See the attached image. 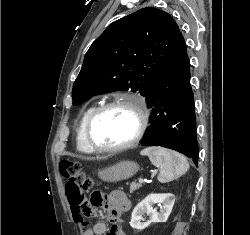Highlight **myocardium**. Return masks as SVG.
I'll return each instance as SVG.
<instances>
[{
    "mask_svg": "<svg viewBox=\"0 0 250 235\" xmlns=\"http://www.w3.org/2000/svg\"><path fill=\"white\" fill-rule=\"evenodd\" d=\"M122 106L131 109L137 116V129L133 137L122 144L115 146H99L91 136V129L96 119L110 108ZM148 124V113L145 103L133 97H118L97 106L88 117L84 127V139L92 151L100 153H116L134 147L142 139Z\"/></svg>",
    "mask_w": 250,
    "mask_h": 235,
    "instance_id": "myocardium-1",
    "label": "myocardium"
}]
</instances>
